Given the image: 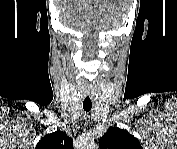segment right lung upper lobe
Returning a JSON list of instances; mask_svg holds the SVG:
<instances>
[{
	"instance_id": "right-lung-upper-lobe-1",
	"label": "right lung upper lobe",
	"mask_w": 177,
	"mask_h": 149,
	"mask_svg": "<svg viewBox=\"0 0 177 149\" xmlns=\"http://www.w3.org/2000/svg\"><path fill=\"white\" fill-rule=\"evenodd\" d=\"M36 149H73V139L65 132L56 131L44 136L37 143Z\"/></svg>"
}]
</instances>
